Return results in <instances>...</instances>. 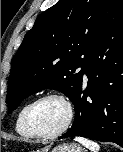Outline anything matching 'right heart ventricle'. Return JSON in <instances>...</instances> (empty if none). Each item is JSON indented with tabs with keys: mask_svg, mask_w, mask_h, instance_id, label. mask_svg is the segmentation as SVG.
I'll list each match as a JSON object with an SVG mask.
<instances>
[{
	"mask_svg": "<svg viewBox=\"0 0 123 152\" xmlns=\"http://www.w3.org/2000/svg\"><path fill=\"white\" fill-rule=\"evenodd\" d=\"M30 103L24 104L17 113L15 119V130L16 132L23 138L31 139L34 136L27 130L25 123H24V115L25 111Z\"/></svg>",
	"mask_w": 123,
	"mask_h": 152,
	"instance_id": "right-heart-ventricle-1",
	"label": "right heart ventricle"
}]
</instances>
